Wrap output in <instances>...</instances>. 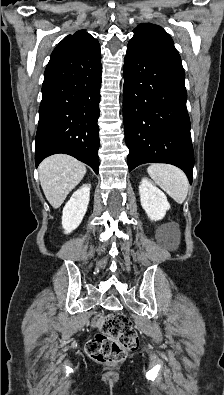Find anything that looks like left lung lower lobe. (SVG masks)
<instances>
[{
  "label": "left lung lower lobe",
  "instance_id": "0a47b994",
  "mask_svg": "<svg viewBox=\"0 0 224 395\" xmlns=\"http://www.w3.org/2000/svg\"><path fill=\"white\" fill-rule=\"evenodd\" d=\"M123 98L129 171L144 163H169L192 183L194 153L181 62L128 45Z\"/></svg>",
  "mask_w": 224,
  "mask_h": 395
}]
</instances>
